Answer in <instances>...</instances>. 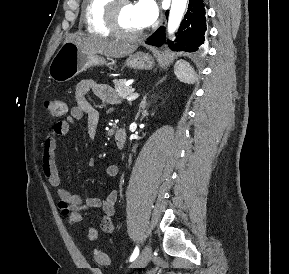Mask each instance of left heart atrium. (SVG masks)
<instances>
[{
	"mask_svg": "<svg viewBox=\"0 0 289 274\" xmlns=\"http://www.w3.org/2000/svg\"><path fill=\"white\" fill-rule=\"evenodd\" d=\"M134 9L143 28L151 25L158 16V8L154 0H138L134 4Z\"/></svg>",
	"mask_w": 289,
	"mask_h": 274,
	"instance_id": "39dd6f15",
	"label": "left heart atrium"
}]
</instances>
